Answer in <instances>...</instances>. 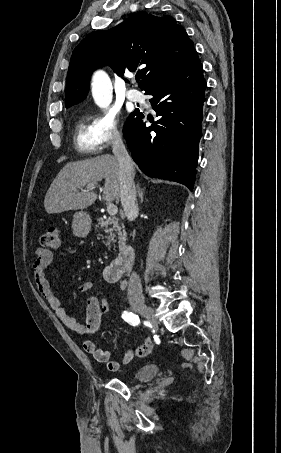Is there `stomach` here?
<instances>
[{
  "instance_id": "1",
  "label": "stomach",
  "mask_w": 281,
  "mask_h": 453,
  "mask_svg": "<svg viewBox=\"0 0 281 453\" xmlns=\"http://www.w3.org/2000/svg\"><path fill=\"white\" fill-rule=\"evenodd\" d=\"M72 229L77 237H86L91 229V218L87 212H75L73 214Z\"/></svg>"
}]
</instances>
